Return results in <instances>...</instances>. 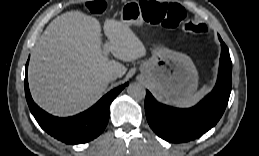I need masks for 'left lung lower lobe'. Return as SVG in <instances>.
<instances>
[{
    "label": "left lung lower lobe",
    "instance_id": "left-lung-lower-lobe-1",
    "mask_svg": "<svg viewBox=\"0 0 259 156\" xmlns=\"http://www.w3.org/2000/svg\"><path fill=\"white\" fill-rule=\"evenodd\" d=\"M220 41L222 54L218 82L199 104L188 109L173 108L158 103L146 91V117L159 137L172 143L194 140L210 130L221 118L231 92L232 63L227 46L221 38Z\"/></svg>",
    "mask_w": 259,
    "mask_h": 156
}]
</instances>
